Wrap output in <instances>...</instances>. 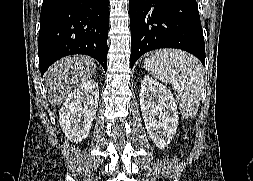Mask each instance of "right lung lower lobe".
Masks as SVG:
<instances>
[{"label":"right lung lower lobe","instance_id":"98d812e1","mask_svg":"<svg viewBox=\"0 0 253 181\" xmlns=\"http://www.w3.org/2000/svg\"><path fill=\"white\" fill-rule=\"evenodd\" d=\"M108 0H43L38 43L43 75L72 54L95 58L107 70Z\"/></svg>","mask_w":253,"mask_h":181}]
</instances>
